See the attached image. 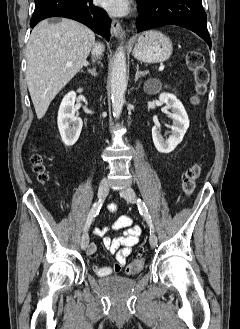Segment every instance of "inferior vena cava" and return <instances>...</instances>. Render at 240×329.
<instances>
[{
	"instance_id": "602c4592",
	"label": "inferior vena cava",
	"mask_w": 240,
	"mask_h": 329,
	"mask_svg": "<svg viewBox=\"0 0 240 329\" xmlns=\"http://www.w3.org/2000/svg\"><path fill=\"white\" fill-rule=\"evenodd\" d=\"M103 52V45H101L100 43H96L94 44L93 46V49H92V55L93 56H98V55H101Z\"/></svg>"
}]
</instances>
